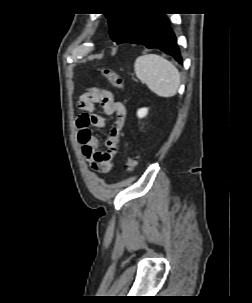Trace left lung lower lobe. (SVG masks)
Segmentation results:
<instances>
[{
    "instance_id": "0a47b994",
    "label": "left lung lower lobe",
    "mask_w": 252,
    "mask_h": 303,
    "mask_svg": "<svg viewBox=\"0 0 252 303\" xmlns=\"http://www.w3.org/2000/svg\"><path fill=\"white\" fill-rule=\"evenodd\" d=\"M142 44L147 48H157L171 55L182 64L181 54L176 44L168 20L164 14L148 13L140 22L120 41V43Z\"/></svg>"
}]
</instances>
